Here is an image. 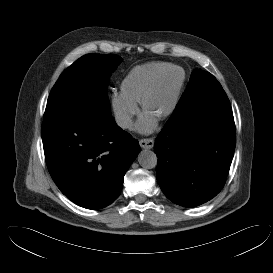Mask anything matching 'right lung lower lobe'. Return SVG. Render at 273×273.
Here are the masks:
<instances>
[{
	"label": "right lung lower lobe",
	"mask_w": 273,
	"mask_h": 273,
	"mask_svg": "<svg viewBox=\"0 0 273 273\" xmlns=\"http://www.w3.org/2000/svg\"><path fill=\"white\" fill-rule=\"evenodd\" d=\"M41 135L55 184L72 202L92 210L117 199L140 150L110 110L95 106L55 110L44 117Z\"/></svg>",
	"instance_id": "1"
}]
</instances>
